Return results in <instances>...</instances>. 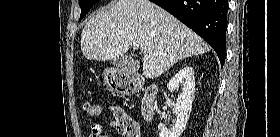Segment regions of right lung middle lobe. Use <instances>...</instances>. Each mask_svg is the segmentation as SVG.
I'll return each mask as SVG.
<instances>
[{"label":"right lung middle lobe","mask_w":280,"mask_h":137,"mask_svg":"<svg viewBox=\"0 0 280 137\" xmlns=\"http://www.w3.org/2000/svg\"><path fill=\"white\" fill-rule=\"evenodd\" d=\"M99 0H80L79 4L81 7V15L79 21L88 13L90 8Z\"/></svg>","instance_id":"1"}]
</instances>
